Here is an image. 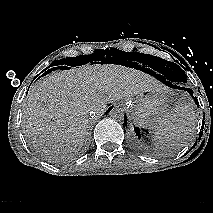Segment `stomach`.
I'll return each mask as SVG.
<instances>
[{
  "label": "stomach",
  "instance_id": "obj_1",
  "mask_svg": "<svg viewBox=\"0 0 213 213\" xmlns=\"http://www.w3.org/2000/svg\"><path fill=\"white\" fill-rule=\"evenodd\" d=\"M163 92L164 88L124 99L136 126L156 129L159 118L167 113L169 107Z\"/></svg>",
  "mask_w": 213,
  "mask_h": 213
}]
</instances>
